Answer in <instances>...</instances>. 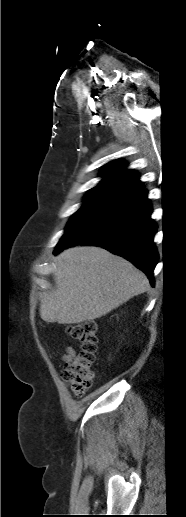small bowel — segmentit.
<instances>
[{"label":"small bowel","mask_w":186,"mask_h":517,"mask_svg":"<svg viewBox=\"0 0 186 517\" xmlns=\"http://www.w3.org/2000/svg\"><path fill=\"white\" fill-rule=\"evenodd\" d=\"M74 354H75V350L73 347L70 346L66 349V352L62 355L61 360L64 363H67L72 359Z\"/></svg>","instance_id":"c3829d8e"}]
</instances>
